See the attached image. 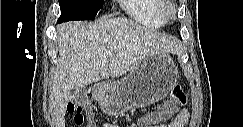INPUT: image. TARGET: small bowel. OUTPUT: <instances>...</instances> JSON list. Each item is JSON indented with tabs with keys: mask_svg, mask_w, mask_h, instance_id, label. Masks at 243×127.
I'll list each match as a JSON object with an SVG mask.
<instances>
[{
	"mask_svg": "<svg viewBox=\"0 0 243 127\" xmlns=\"http://www.w3.org/2000/svg\"><path fill=\"white\" fill-rule=\"evenodd\" d=\"M189 118V112L186 108L182 109L181 112L178 114V116L175 118V120L169 124H158L157 122V116L154 114H150L140 120V122L137 125L138 127L143 126H149V127H184L187 124ZM89 127H96V124L94 122H90Z\"/></svg>",
	"mask_w": 243,
	"mask_h": 127,
	"instance_id": "c3829d8e",
	"label": "small bowel"
}]
</instances>
